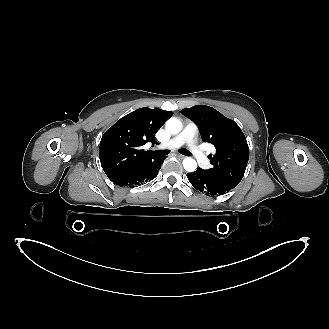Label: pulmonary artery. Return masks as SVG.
Listing matches in <instances>:
<instances>
[{
  "instance_id": "1",
  "label": "pulmonary artery",
  "mask_w": 329,
  "mask_h": 329,
  "mask_svg": "<svg viewBox=\"0 0 329 329\" xmlns=\"http://www.w3.org/2000/svg\"><path fill=\"white\" fill-rule=\"evenodd\" d=\"M197 132V125L192 122L188 123L184 129L177 136L168 141L164 147L175 149L185 144L193 157L197 160L199 166L203 169H207L209 167V160L198 145Z\"/></svg>"
}]
</instances>
